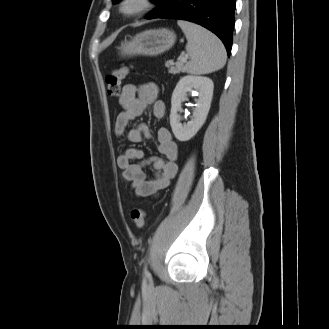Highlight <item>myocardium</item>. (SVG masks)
I'll return each instance as SVG.
<instances>
[{
    "label": "myocardium",
    "instance_id": "obj_1",
    "mask_svg": "<svg viewBox=\"0 0 329 329\" xmlns=\"http://www.w3.org/2000/svg\"><path fill=\"white\" fill-rule=\"evenodd\" d=\"M153 6V0H122L119 11L127 17H135L146 13Z\"/></svg>",
    "mask_w": 329,
    "mask_h": 329
}]
</instances>
